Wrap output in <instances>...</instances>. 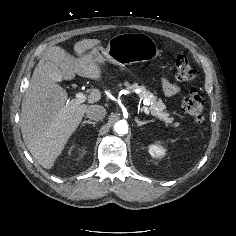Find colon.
<instances>
[{"label": "colon", "instance_id": "5ec220e1", "mask_svg": "<svg viewBox=\"0 0 236 236\" xmlns=\"http://www.w3.org/2000/svg\"><path fill=\"white\" fill-rule=\"evenodd\" d=\"M176 79L180 83H187L194 79L195 70L185 56H178L175 61ZM184 111L200 123L204 120V101L195 88H192L182 99Z\"/></svg>", "mask_w": 236, "mask_h": 236}]
</instances>
